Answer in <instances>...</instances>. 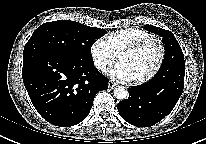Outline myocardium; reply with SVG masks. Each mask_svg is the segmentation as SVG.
<instances>
[{
	"instance_id": "myocardium-1",
	"label": "myocardium",
	"mask_w": 206,
	"mask_h": 144,
	"mask_svg": "<svg viewBox=\"0 0 206 144\" xmlns=\"http://www.w3.org/2000/svg\"><path fill=\"white\" fill-rule=\"evenodd\" d=\"M150 45H155L158 49V57H157L156 63L148 74H146L145 76L139 79L134 80V83L136 85L145 84L151 81L157 75L165 59L166 49H165L164 43L157 38L151 37L149 39H146V40H143V41L124 47L118 54V59L120 60V58L123 55L136 53Z\"/></svg>"
}]
</instances>
